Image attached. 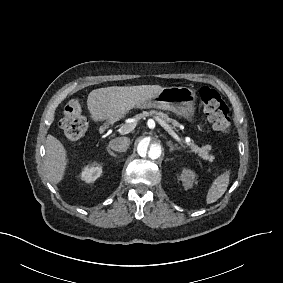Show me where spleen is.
I'll return each mask as SVG.
<instances>
[{
    "label": "spleen",
    "instance_id": "obj_1",
    "mask_svg": "<svg viewBox=\"0 0 283 283\" xmlns=\"http://www.w3.org/2000/svg\"><path fill=\"white\" fill-rule=\"evenodd\" d=\"M230 170H225L218 175L210 184L205 203L207 205L213 204L218 201L226 192L230 182Z\"/></svg>",
    "mask_w": 283,
    "mask_h": 283
}]
</instances>
